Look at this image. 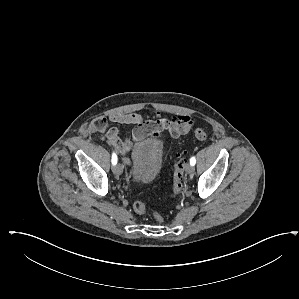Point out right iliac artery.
Segmentation results:
<instances>
[{"mask_svg":"<svg viewBox=\"0 0 299 299\" xmlns=\"http://www.w3.org/2000/svg\"><path fill=\"white\" fill-rule=\"evenodd\" d=\"M117 160H118L117 155L113 152V154H112V164L116 165Z\"/></svg>","mask_w":299,"mask_h":299,"instance_id":"right-iliac-artery-1","label":"right iliac artery"}]
</instances>
